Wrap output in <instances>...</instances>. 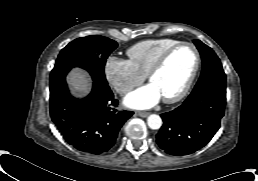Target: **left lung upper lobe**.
Returning <instances> with one entry per match:
<instances>
[{
    "label": "left lung upper lobe",
    "instance_id": "left-lung-upper-lobe-1",
    "mask_svg": "<svg viewBox=\"0 0 258 181\" xmlns=\"http://www.w3.org/2000/svg\"><path fill=\"white\" fill-rule=\"evenodd\" d=\"M202 57V73L194 87V90L201 88L210 82H226V75L221 62L215 52L202 43L200 40L193 41Z\"/></svg>",
    "mask_w": 258,
    "mask_h": 181
}]
</instances>
